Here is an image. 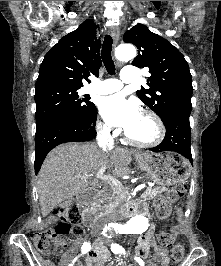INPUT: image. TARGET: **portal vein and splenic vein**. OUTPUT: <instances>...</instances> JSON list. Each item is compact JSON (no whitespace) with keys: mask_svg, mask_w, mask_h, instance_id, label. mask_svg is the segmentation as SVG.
<instances>
[{"mask_svg":"<svg viewBox=\"0 0 221 266\" xmlns=\"http://www.w3.org/2000/svg\"><path fill=\"white\" fill-rule=\"evenodd\" d=\"M106 170V167H102L96 174V178L102 180V181H105L107 183H109L110 185H112L113 187H116V188H122V184L120 181H118L116 178L110 176V175H104V172ZM93 175H82V176H79L81 179L83 180H87L89 179L90 177H92ZM150 187H153V185H149Z\"/></svg>","mask_w":221,"mask_h":266,"instance_id":"portal-vein-and-splenic-vein-1","label":"portal vein and splenic vein"}]
</instances>
